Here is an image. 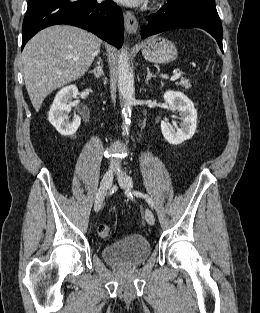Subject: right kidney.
I'll return each instance as SVG.
<instances>
[{"mask_svg": "<svg viewBox=\"0 0 260 313\" xmlns=\"http://www.w3.org/2000/svg\"><path fill=\"white\" fill-rule=\"evenodd\" d=\"M79 94L75 85L62 88L56 95L48 113L49 122L63 136H71L76 133L81 124V118L75 116L70 120L67 112L74 105L72 101Z\"/></svg>", "mask_w": 260, "mask_h": 313, "instance_id": "obj_1", "label": "right kidney"}]
</instances>
